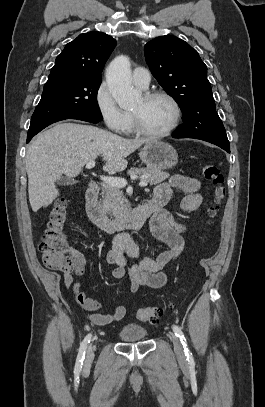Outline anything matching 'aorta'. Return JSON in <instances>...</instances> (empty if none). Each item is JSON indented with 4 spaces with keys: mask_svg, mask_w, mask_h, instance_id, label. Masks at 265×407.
Instances as JSON below:
<instances>
[{
    "mask_svg": "<svg viewBox=\"0 0 265 407\" xmlns=\"http://www.w3.org/2000/svg\"><path fill=\"white\" fill-rule=\"evenodd\" d=\"M106 81L112 97L121 108L134 106L141 93L133 89L130 60L127 56H117L106 69Z\"/></svg>",
    "mask_w": 265,
    "mask_h": 407,
    "instance_id": "1",
    "label": "aorta"
}]
</instances>
